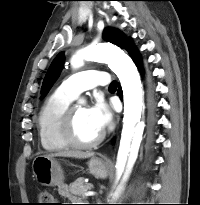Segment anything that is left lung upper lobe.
I'll list each match as a JSON object with an SVG mask.
<instances>
[{
	"label": "left lung upper lobe",
	"mask_w": 200,
	"mask_h": 205,
	"mask_svg": "<svg viewBox=\"0 0 200 205\" xmlns=\"http://www.w3.org/2000/svg\"><path fill=\"white\" fill-rule=\"evenodd\" d=\"M103 37L108 42H111L121 48H125L126 44L129 42V38L120 32L119 30L113 28H107L103 32ZM64 65V53H59L53 62L51 63L46 76L44 78L42 88H41V98L45 97L53 83L57 80L60 75V72Z\"/></svg>",
	"instance_id": "left-lung-upper-lobe-1"
}]
</instances>
